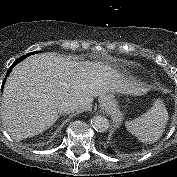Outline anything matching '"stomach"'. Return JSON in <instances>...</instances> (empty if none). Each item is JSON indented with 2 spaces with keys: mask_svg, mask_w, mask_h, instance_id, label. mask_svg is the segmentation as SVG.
Here are the masks:
<instances>
[{
  "mask_svg": "<svg viewBox=\"0 0 177 177\" xmlns=\"http://www.w3.org/2000/svg\"><path fill=\"white\" fill-rule=\"evenodd\" d=\"M99 103L100 106L109 113H114L117 109V100L113 93L100 98Z\"/></svg>",
  "mask_w": 177,
  "mask_h": 177,
  "instance_id": "0dacf381",
  "label": "stomach"
}]
</instances>
